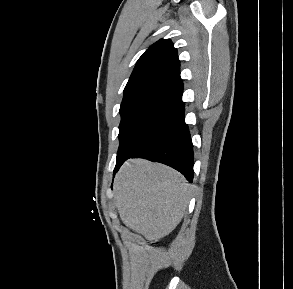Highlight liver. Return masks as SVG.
<instances>
[{
  "instance_id": "6515ba94",
  "label": "liver",
  "mask_w": 293,
  "mask_h": 289,
  "mask_svg": "<svg viewBox=\"0 0 293 289\" xmlns=\"http://www.w3.org/2000/svg\"><path fill=\"white\" fill-rule=\"evenodd\" d=\"M114 191L122 222L151 241L174 230L191 197L190 185L179 172L141 158L121 167Z\"/></svg>"
}]
</instances>
